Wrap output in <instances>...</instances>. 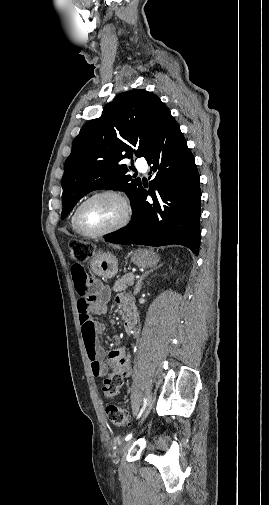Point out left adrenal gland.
Listing matches in <instances>:
<instances>
[{
  "label": "left adrenal gland",
  "mask_w": 269,
  "mask_h": 505,
  "mask_svg": "<svg viewBox=\"0 0 269 505\" xmlns=\"http://www.w3.org/2000/svg\"><path fill=\"white\" fill-rule=\"evenodd\" d=\"M161 266H162V264H160V265L156 266L155 268L150 269V270L144 272V274H142V276L140 277V279L138 280V282H137V284H136V286L134 288V294L135 295H137L140 292V290L142 288V281L144 280V278L147 277L154 270L159 269Z\"/></svg>",
  "instance_id": "a2214340"
}]
</instances>
